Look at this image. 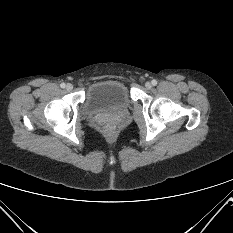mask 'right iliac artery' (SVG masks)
Returning <instances> with one entry per match:
<instances>
[{"label":"right iliac artery","mask_w":233,"mask_h":233,"mask_svg":"<svg viewBox=\"0 0 233 233\" xmlns=\"http://www.w3.org/2000/svg\"><path fill=\"white\" fill-rule=\"evenodd\" d=\"M65 86H66L65 83H61V84H60V87H61V88H65Z\"/></svg>","instance_id":"obj_1"}]
</instances>
